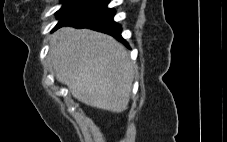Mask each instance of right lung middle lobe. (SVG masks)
<instances>
[{
    "label": "right lung middle lobe",
    "instance_id": "right-lung-middle-lobe-1",
    "mask_svg": "<svg viewBox=\"0 0 227 142\" xmlns=\"http://www.w3.org/2000/svg\"><path fill=\"white\" fill-rule=\"evenodd\" d=\"M61 3L63 6L56 13L60 20L58 24L106 8L108 0H62Z\"/></svg>",
    "mask_w": 227,
    "mask_h": 142
}]
</instances>
